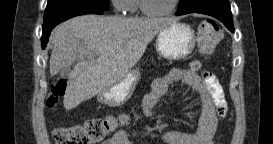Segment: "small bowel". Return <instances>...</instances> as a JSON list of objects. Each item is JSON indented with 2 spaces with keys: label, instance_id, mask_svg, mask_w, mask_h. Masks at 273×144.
I'll return each mask as SVG.
<instances>
[{
  "label": "small bowel",
  "instance_id": "small-bowel-1",
  "mask_svg": "<svg viewBox=\"0 0 273 144\" xmlns=\"http://www.w3.org/2000/svg\"><path fill=\"white\" fill-rule=\"evenodd\" d=\"M174 81H184L199 93L202 100V112L196 131H168L163 135L164 142L168 144H212V138L220 122L226 117L227 103L222 86L215 75L209 71L197 73L175 68L167 75L157 78L152 83L151 91L143 99V114L146 117L153 115L159 97L166 93L169 84ZM133 135L134 133L121 130L105 143L130 144Z\"/></svg>",
  "mask_w": 273,
  "mask_h": 144
}]
</instances>
